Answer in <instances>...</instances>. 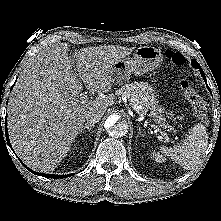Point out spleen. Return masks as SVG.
<instances>
[{
    "label": "spleen",
    "mask_w": 221,
    "mask_h": 221,
    "mask_svg": "<svg viewBox=\"0 0 221 221\" xmlns=\"http://www.w3.org/2000/svg\"><path fill=\"white\" fill-rule=\"evenodd\" d=\"M208 136L203 124H196L187 137L173 147H161L160 152L186 170L193 169L206 150Z\"/></svg>",
    "instance_id": "3e777b00"
}]
</instances>
